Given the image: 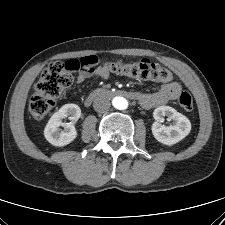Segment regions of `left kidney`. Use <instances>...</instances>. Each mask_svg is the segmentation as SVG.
I'll return each instance as SVG.
<instances>
[{"instance_id": "1", "label": "left kidney", "mask_w": 225, "mask_h": 225, "mask_svg": "<svg viewBox=\"0 0 225 225\" xmlns=\"http://www.w3.org/2000/svg\"><path fill=\"white\" fill-rule=\"evenodd\" d=\"M167 116L173 120L170 126L162 125L160 122ZM156 120L152 125V133L157 141L165 145H173L184 139L191 131L189 119L169 106H160L153 112Z\"/></svg>"}]
</instances>
